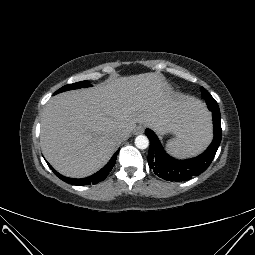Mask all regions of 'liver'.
<instances>
[{
	"instance_id": "obj_1",
	"label": "liver",
	"mask_w": 255,
	"mask_h": 255,
	"mask_svg": "<svg viewBox=\"0 0 255 255\" xmlns=\"http://www.w3.org/2000/svg\"><path fill=\"white\" fill-rule=\"evenodd\" d=\"M203 112L198 100L174 95L158 73L114 78L49 100L41 119L42 152L61 174L85 177L100 169L120 144L116 132L128 138L140 123L179 135Z\"/></svg>"
}]
</instances>
